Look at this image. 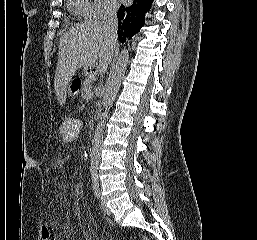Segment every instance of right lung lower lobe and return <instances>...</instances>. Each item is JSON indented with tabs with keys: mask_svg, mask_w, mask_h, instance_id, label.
<instances>
[{
	"mask_svg": "<svg viewBox=\"0 0 257 240\" xmlns=\"http://www.w3.org/2000/svg\"><path fill=\"white\" fill-rule=\"evenodd\" d=\"M153 0H134L129 7L121 5L118 10V37L121 42L134 36L144 25V16L151 8Z\"/></svg>",
	"mask_w": 257,
	"mask_h": 240,
	"instance_id": "right-lung-lower-lobe-1",
	"label": "right lung lower lobe"
}]
</instances>
